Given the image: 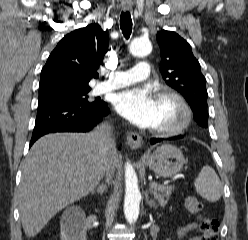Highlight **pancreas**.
<instances>
[{
	"instance_id": "pancreas-1",
	"label": "pancreas",
	"mask_w": 248,
	"mask_h": 240,
	"mask_svg": "<svg viewBox=\"0 0 248 240\" xmlns=\"http://www.w3.org/2000/svg\"><path fill=\"white\" fill-rule=\"evenodd\" d=\"M172 189V187L160 185L157 188H151V193L154 195L155 199L158 200L161 206H165L168 202Z\"/></svg>"
}]
</instances>
